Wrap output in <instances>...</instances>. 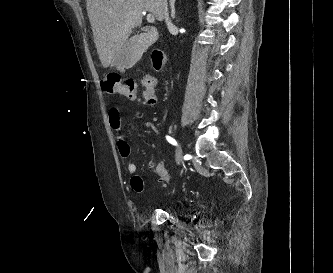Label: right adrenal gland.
Segmentation results:
<instances>
[{
  "label": "right adrenal gland",
  "mask_w": 333,
  "mask_h": 273,
  "mask_svg": "<svg viewBox=\"0 0 333 273\" xmlns=\"http://www.w3.org/2000/svg\"><path fill=\"white\" fill-rule=\"evenodd\" d=\"M175 1L176 0H170V6H171V17L174 19L175 18Z\"/></svg>",
  "instance_id": "1"
}]
</instances>
